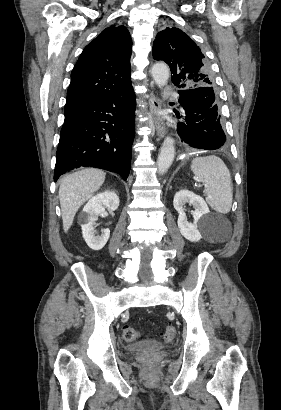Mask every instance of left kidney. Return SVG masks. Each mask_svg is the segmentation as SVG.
<instances>
[{"instance_id": "1", "label": "left kidney", "mask_w": 281, "mask_h": 410, "mask_svg": "<svg viewBox=\"0 0 281 410\" xmlns=\"http://www.w3.org/2000/svg\"><path fill=\"white\" fill-rule=\"evenodd\" d=\"M193 205V223L188 222L186 213L184 212L185 204ZM175 210L179 213L178 228L180 233L189 241L197 242L202 238L203 231L211 222L210 210L204 199L194 194L193 192L182 189L178 191L173 200Z\"/></svg>"}]
</instances>
